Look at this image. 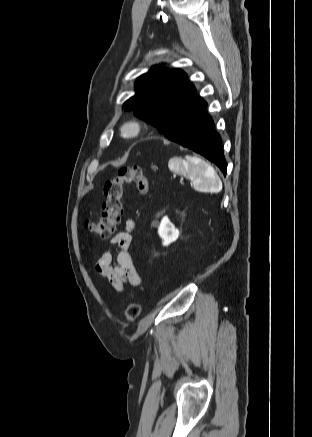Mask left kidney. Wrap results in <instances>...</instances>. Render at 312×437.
<instances>
[{
	"mask_svg": "<svg viewBox=\"0 0 312 437\" xmlns=\"http://www.w3.org/2000/svg\"><path fill=\"white\" fill-rule=\"evenodd\" d=\"M158 234L163 240V245L168 246L170 243L178 239L179 230L175 228L174 224L167 216H164L158 228Z\"/></svg>",
	"mask_w": 312,
	"mask_h": 437,
	"instance_id": "left-kidney-1",
	"label": "left kidney"
}]
</instances>
